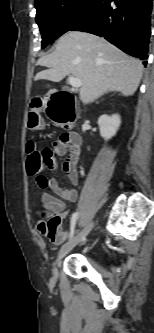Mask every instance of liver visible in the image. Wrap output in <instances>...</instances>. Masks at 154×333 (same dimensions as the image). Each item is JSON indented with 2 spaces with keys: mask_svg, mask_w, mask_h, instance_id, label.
Instances as JSON below:
<instances>
[{
  "mask_svg": "<svg viewBox=\"0 0 154 333\" xmlns=\"http://www.w3.org/2000/svg\"><path fill=\"white\" fill-rule=\"evenodd\" d=\"M37 64L48 69L34 80L62 81L67 75L81 80L80 100L89 103L108 91L124 96L137 90L143 65L96 35L71 31L59 38L55 50L41 57Z\"/></svg>",
  "mask_w": 154,
  "mask_h": 333,
  "instance_id": "obj_1",
  "label": "liver"
}]
</instances>
